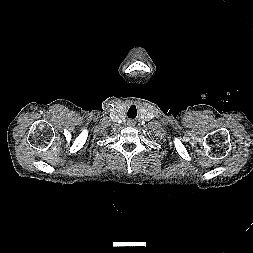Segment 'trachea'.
Returning a JSON list of instances; mask_svg holds the SVG:
<instances>
[{"mask_svg": "<svg viewBox=\"0 0 253 253\" xmlns=\"http://www.w3.org/2000/svg\"><path fill=\"white\" fill-rule=\"evenodd\" d=\"M137 115V110L135 106H131L127 112L128 118L134 119Z\"/></svg>", "mask_w": 253, "mask_h": 253, "instance_id": "obj_1", "label": "trachea"}]
</instances>
